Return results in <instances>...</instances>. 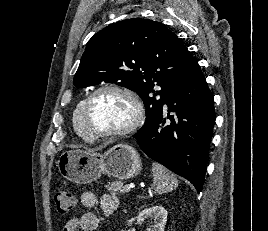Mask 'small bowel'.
<instances>
[{
  "label": "small bowel",
  "instance_id": "c3829d8e",
  "mask_svg": "<svg viewBox=\"0 0 268 231\" xmlns=\"http://www.w3.org/2000/svg\"><path fill=\"white\" fill-rule=\"evenodd\" d=\"M81 204L91 208L99 205L104 215L109 216L116 212L119 202L116 196L104 194L100 199L91 191L81 194ZM101 219L93 212H86L79 217L70 219L63 228V231H95L100 225Z\"/></svg>",
  "mask_w": 268,
  "mask_h": 231
}]
</instances>
